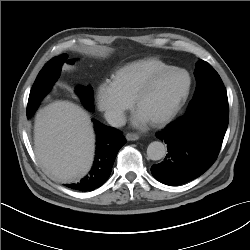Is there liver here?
Masks as SVG:
<instances>
[{
    "label": "liver",
    "mask_w": 250,
    "mask_h": 250,
    "mask_svg": "<svg viewBox=\"0 0 250 250\" xmlns=\"http://www.w3.org/2000/svg\"><path fill=\"white\" fill-rule=\"evenodd\" d=\"M95 135L89 114L70 101L42 108L34 124L35 154L47 174L72 182L91 168Z\"/></svg>",
    "instance_id": "liver-1"
}]
</instances>
